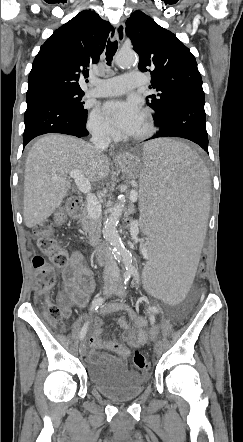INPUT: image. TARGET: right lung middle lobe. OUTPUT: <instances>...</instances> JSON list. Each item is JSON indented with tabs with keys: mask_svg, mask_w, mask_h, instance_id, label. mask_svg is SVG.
Masks as SVG:
<instances>
[{
	"mask_svg": "<svg viewBox=\"0 0 243 442\" xmlns=\"http://www.w3.org/2000/svg\"><path fill=\"white\" fill-rule=\"evenodd\" d=\"M49 92L56 93L66 100H68L76 110L77 114L82 118H87V110L83 108L84 102L81 101V96L84 95L82 91H65V90H51Z\"/></svg>",
	"mask_w": 243,
	"mask_h": 442,
	"instance_id": "dd1d6c3e",
	"label": "right lung middle lobe"
}]
</instances>
